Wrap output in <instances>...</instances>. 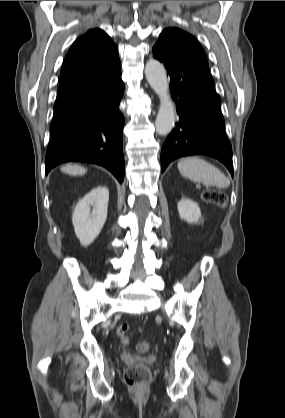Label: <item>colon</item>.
Instances as JSON below:
<instances>
[{"instance_id": "1", "label": "colon", "mask_w": 285, "mask_h": 418, "mask_svg": "<svg viewBox=\"0 0 285 418\" xmlns=\"http://www.w3.org/2000/svg\"><path fill=\"white\" fill-rule=\"evenodd\" d=\"M203 200L207 203H213L223 207L226 204L227 197L225 193L218 190H206L203 192ZM130 325L127 322L121 323L117 328V335L123 344L129 342L128 332ZM150 344L147 341H141L137 344V350L141 353L149 351ZM151 378V371L144 364H136L124 372V380L131 387L146 385Z\"/></svg>"}]
</instances>
